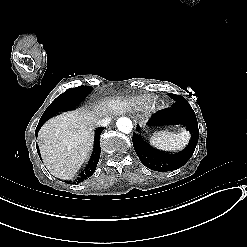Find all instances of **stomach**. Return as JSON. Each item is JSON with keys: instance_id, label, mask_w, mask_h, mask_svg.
I'll return each mask as SVG.
<instances>
[{"instance_id": "obj_1", "label": "stomach", "mask_w": 247, "mask_h": 247, "mask_svg": "<svg viewBox=\"0 0 247 247\" xmlns=\"http://www.w3.org/2000/svg\"><path fill=\"white\" fill-rule=\"evenodd\" d=\"M175 120H179V117H176ZM174 122V117L171 116V109H162L151 114L145 121V126L159 132L176 133L179 131L180 125Z\"/></svg>"}]
</instances>
